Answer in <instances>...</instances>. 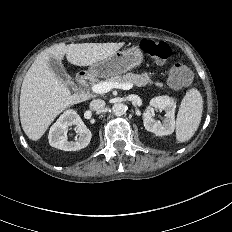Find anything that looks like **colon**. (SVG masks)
<instances>
[{
    "label": "colon",
    "instance_id": "obj_1",
    "mask_svg": "<svg viewBox=\"0 0 232 232\" xmlns=\"http://www.w3.org/2000/svg\"><path fill=\"white\" fill-rule=\"evenodd\" d=\"M141 49L145 54L156 61H165L172 55V49L166 42L144 40ZM192 74L183 64L175 63L169 73V82L173 87H184L191 83Z\"/></svg>",
    "mask_w": 232,
    "mask_h": 232
}]
</instances>
